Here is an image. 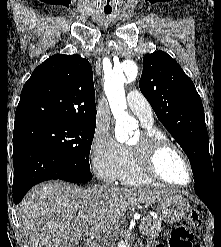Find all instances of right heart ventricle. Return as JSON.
<instances>
[{
    "mask_svg": "<svg viewBox=\"0 0 221 247\" xmlns=\"http://www.w3.org/2000/svg\"><path fill=\"white\" fill-rule=\"evenodd\" d=\"M146 128L149 132L162 135L160 131L153 128L152 126ZM118 179L121 181L122 184L131 186L158 184V182L150 178L142 171L132 151L127 146H124L123 161L119 171Z\"/></svg>",
    "mask_w": 221,
    "mask_h": 247,
    "instance_id": "right-heart-ventricle-1",
    "label": "right heart ventricle"
}]
</instances>
